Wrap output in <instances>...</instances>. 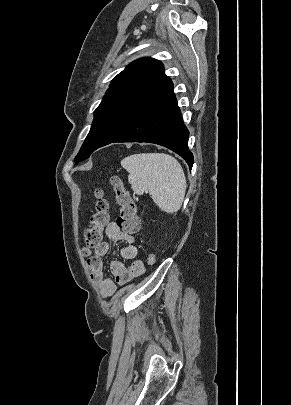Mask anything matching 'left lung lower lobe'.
I'll return each instance as SVG.
<instances>
[{"label": "left lung lower lobe", "mask_w": 291, "mask_h": 405, "mask_svg": "<svg viewBox=\"0 0 291 405\" xmlns=\"http://www.w3.org/2000/svg\"><path fill=\"white\" fill-rule=\"evenodd\" d=\"M188 136L172 81L164 75L146 93L125 131L113 142L162 145L180 155L191 169L193 154L188 149Z\"/></svg>", "instance_id": "left-lung-lower-lobe-1"}]
</instances>
